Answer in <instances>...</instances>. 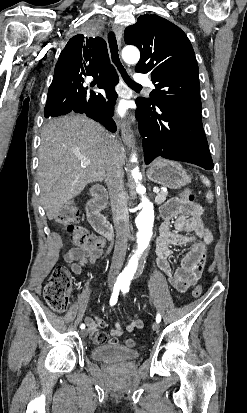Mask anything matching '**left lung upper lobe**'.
Instances as JSON below:
<instances>
[{
	"instance_id": "1",
	"label": "left lung upper lobe",
	"mask_w": 247,
	"mask_h": 413,
	"mask_svg": "<svg viewBox=\"0 0 247 413\" xmlns=\"http://www.w3.org/2000/svg\"><path fill=\"white\" fill-rule=\"evenodd\" d=\"M124 40L141 52L135 71L150 73L155 85L150 98H139L137 103L151 108L174 104L201 112L198 64L179 27L160 16L145 14L126 28Z\"/></svg>"
}]
</instances>
